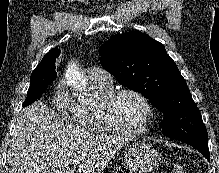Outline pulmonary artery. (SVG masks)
I'll return each instance as SVG.
<instances>
[{
	"label": "pulmonary artery",
	"mask_w": 219,
	"mask_h": 173,
	"mask_svg": "<svg viewBox=\"0 0 219 173\" xmlns=\"http://www.w3.org/2000/svg\"><path fill=\"white\" fill-rule=\"evenodd\" d=\"M88 77L91 82H99L103 84L112 83L111 74L101 67L90 68L88 70Z\"/></svg>",
	"instance_id": "1"
}]
</instances>
